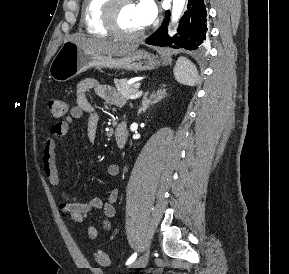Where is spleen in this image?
<instances>
[{"label":"spleen","instance_id":"obj_1","mask_svg":"<svg viewBox=\"0 0 289 274\" xmlns=\"http://www.w3.org/2000/svg\"><path fill=\"white\" fill-rule=\"evenodd\" d=\"M176 80L188 86H194L198 82V72L195 65L185 57H180L174 68Z\"/></svg>","mask_w":289,"mask_h":274}]
</instances>
